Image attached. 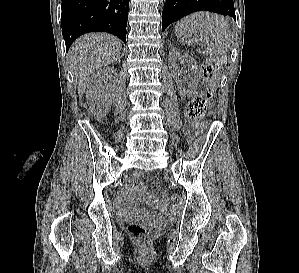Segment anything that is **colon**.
<instances>
[{
    "label": "colon",
    "instance_id": "obj_1",
    "mask_svg": "<svg viewBox=\"0 0 299 273\" xmlns=\"http://www.w3.org/2000/svg\"><path fill=\"white\" fill-rule=\"evenodd\" d=\"M218 62L215 60H207L202 66V75L208 86L199 94L195 95L187 104L185 115L189 122L194 126L197 135H202L207 124L201 119L204 116L210 102L214 96V84L218 77ZM181 205V197L173 195L171 197V213L175 215ZM130 235L137 240H147L153 236V229L142 223H131L128 227Z\"/></svg>",
    "mask_w": 299,
    "mask_h": 273
}]
</instances>
